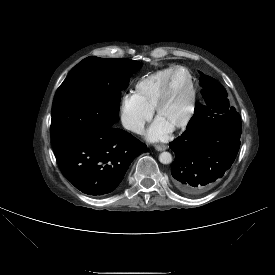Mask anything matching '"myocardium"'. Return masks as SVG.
<instances>
[{
    "mask_svg": "<svg viewBox=\"0 0 275 275\" xmlns=\"http://www.w3.org/2000/svg\"><path fill=\"white\" fill-rule=\"evenodd\" d=\"M178 70H183L188 76L189 87H190V97H189L187 111H186L185 116L178 123L171 126V128L173 130L182 129V128L186 127L189 124V122L191 121V119L193 117L194 111H195L196 98H197L196 86H195L194 78H193L192 73L190 72V70L188 68L184 67V66H175L171 70V72L168 76V79H167L161 93L159 94V97H158L157 102L155 104L154 112H155L156 117L159 118V115L162 111V108L165 105V103H166V101L169 97L171 87H172L173 77H174V74Z\"/></svg>",
    "mask_w": 275,
    "mask_h": 275,
    "instance_id": "obj_1",
    "label": "myocardium"
}]
</instances>
